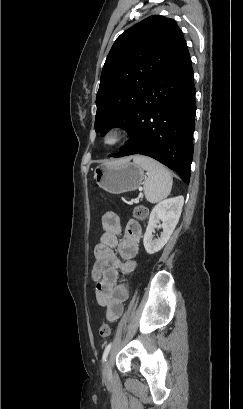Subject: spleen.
Instances as JSON below:
<instances>
[{"label": "spleen", "mask_w": 243, "mask_h": 409, "mask_svg": "<svg viewBox=\"0 0 243 409\" xmlns=\"http://www.w3.org/2000/svg\"><path fill=\"white\" fill-rule=\"evenodd\" d=\"M133 162L147 171L144 183V194L150 203H158L165 199L172 189V176L161 163L142 155H135Z\"/></svg>", "instance_id": "1"}]
</instances>
